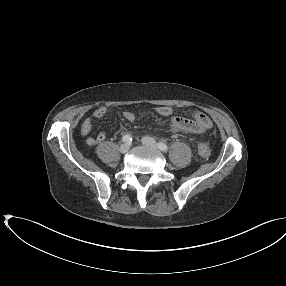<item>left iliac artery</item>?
<instances>
[{
    "label": "left iliac artery",
    "instance_id": "1",
    "mask_svg": "<svg viewBox=\"0 0 286 286\" xmlns=\"http://www.w3.org/2000/svg\"><path fill=\"white\" fill-rule=\"evenodd\" d=\"M158 148L161 150V151H164L166 152L168 150V146L162 142H159L158 144Z\"/></svg>",
    "mask_w": 286,
    "mask_h": 286
}]
</instances>
